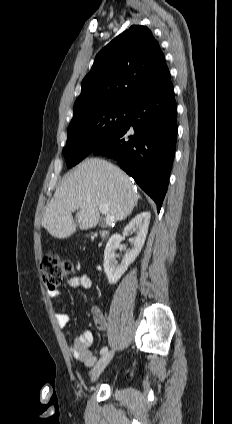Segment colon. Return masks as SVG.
I'll return each mask as SVG.
<instances>
[{
	"label": "colon",
	"instance_id": "5ec220e1",
	"mask_svg": "<svg viewBox=\"0 0 232 424\" xmlns=\"http://www.w3.org/2000/svg\"><path fill=\"white\" fill-rule=\"evenodd\" d=\"M41 271L45 285L48 289H54L72 274L73 264L57 253L49 252L42 256Z\"/></svg>",
	"mask_w": 232,
	"mask_h": 424
}]
</instances>
